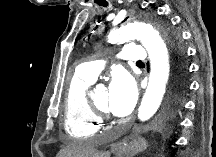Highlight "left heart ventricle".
I'll return each mask as SVG.
<instances>
[{
	"label": "left heart ventricle",
	"mask_w": 216,
	"mask_h": 157,
	"mask_svg": "<svg viewBox=\"0 0 216 157\" xmlns=\"http://www.w3.org/2000/svg\"><path fill=\"white\" fill-rule=\"evenodd\" d=\"M93 100L96 102V104L99 107L108 110L107 108L108 94L106 89L96 91Z\"/></svg>",
	"instance_id": "b2bd125f"
}]
</instances>
